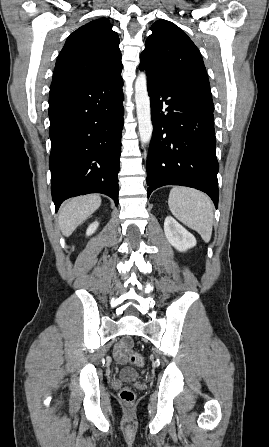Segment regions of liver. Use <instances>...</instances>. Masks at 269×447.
<instances>
[{
    "label": "liver",
    "mask_w": 269,
    "mask_h": 447,
    "mask_svg": "<svg viewBox=\"0 0 269 447\" xmlns=\"http://www.w3.org/2000/svg\"><path fill=\"white\" fill-rule=\"evenodd\" d=\"M101 204L100 196L90 194V196H79L72 198L63 204L59 212L58 225L63 235H71L77 225L87 220L93 212L98 210Z\"/></svg>",
    "instance_id": "liver-1"
}]
</instances>
